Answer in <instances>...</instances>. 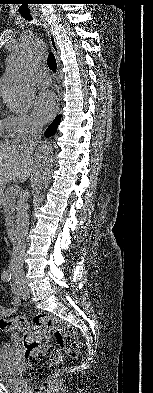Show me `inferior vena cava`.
<instances>
[{"instance_id": "obj_1", "label": "inferior vena cava", "mask_w": 153, "mask_h": 393, "mask_svg": "<svg viewBox=\"0 0 153 393\" xmlns=\"http://www.w3.org/2000/svg\"><path fill=\"white\" fill-rule=\"evenodd\" d=\"M42 129L38 125H32L28 138L23 144L24 151L33 154L34 147L41 139ZM29 192H23L16 205L15 240L11 255L9 270L13 274L23 275L24 254L26 239L29 228L28 201Z\"/></svg>"}]
</instances>
